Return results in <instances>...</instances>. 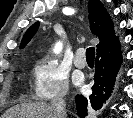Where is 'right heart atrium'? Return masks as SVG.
I'll use <instances>...</instances> for the list:
<instances>
[{"label":"right heart atrium","instance_id":"right-heart-atrium-1","mask_svg":"<svg viewBox=\"0 0 133 118\" xmlns=\"http://www.w3.org/2000/svg\"><path fill=\"white\" fill-rule=\"evenodd\" d=\"M68 75L53 58L36 61L33 69V93L36 99L48 101L65 96L68 92Z\"/></svg>","mask_w":133,"mask_h":118}]
</instances>
